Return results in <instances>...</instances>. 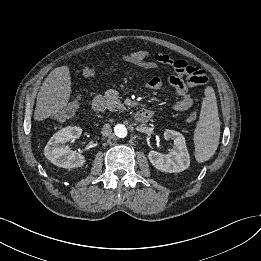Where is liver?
<instances>
[{"mask_svg": "<svg viewBox=\"0 0 261 261\" xmlns=\"http://www.w3.org/2000/svg\"><path fill=\"white\" fill-rule=\"evenodd\" d=\"M71 93V77L68 66H60L50 72L37 95L34 119L42 121L67 106Z\"/></svg>", "mask_w": 261, "mask_h": 261, "instance_id": "liver-1", "label": "liver"}]
</instances>
